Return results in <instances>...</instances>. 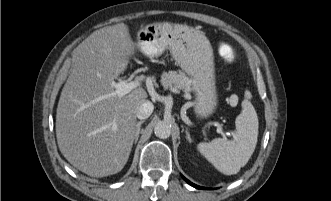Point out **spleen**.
Returning <instances> with one entry per match:
<instances>
[{
    "label": "spleen",
    "mask_w": 331,
    "mask_h": 201,
    "mask_svg": "<svg viewBox=\"0 0 331 201\" xmlns=\"http://www.w3.org/2000/svg\"><path fill=\"white\" fill-rule=\"evenodd\" d=\"M242 107L235 121L233 140L215 138L197 146L199 152L225 175L237 174L247 164L257 145V113L248 99L243 101Z\"/></svg>",
    "instance_id": "1"
}]
</instances>
